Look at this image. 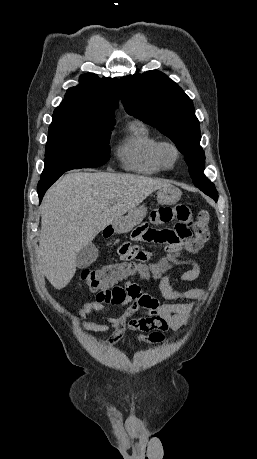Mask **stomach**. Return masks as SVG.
<instances>
[{"mask_svg":"<svg viewBox=\"0 0 257 459\" xmlns=\"http://www.w3.org/2000/svg\"><path fill=\"white\" fill-rule=\"evenodd\" d=\"M181 196V191L172 185L163 187L157 192V201L159 204H175ZM147 214V208L144 205L131 209L127 215L121 216L114 220L111 227L115 233L125 234L132 230L133 227L140 224Z\"/></svg>","mask_w":257,"mask_h":459,"instance_id":"stomach-1","label":"stomach"}]
</instances>
